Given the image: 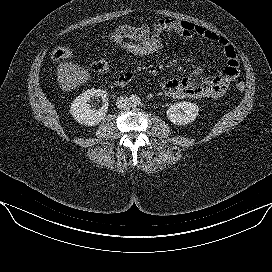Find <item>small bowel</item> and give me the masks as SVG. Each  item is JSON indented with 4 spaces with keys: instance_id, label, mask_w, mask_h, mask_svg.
<instances>
[{
    "instance_id": "small-bowel-1",
    "label": "small bowel",
    "mask_w": 272,
    "mask_h": 272,
    "mask_svg": "<svg viewBox=\"0 0 272 272\" xmlns=\"http://www.w3.org/2000/svg\"><path fill=\"white\" fill-rule=\"evenodd\" d=\"M113 31L117 34L139 39L161 38L163 33H174L184 40L199 36L221 48L226 59V65L218 74L207 76L201 67H197L190 77L161 82L160 88L171 98L218 99L226 93L229 84L239 75V62L234 47L225 37L202 25L183 20L161 19L156 21L152 27L144 23L124 24L114 28ZM124 76L131 79L133 74L127 73Z\"/></svg>"
}]
</instances>
